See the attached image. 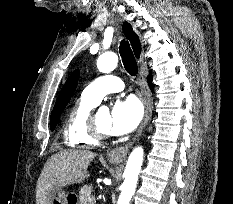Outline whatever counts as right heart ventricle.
Returning a JSON list of instances; mask_svg holds the SVG:
<instances>
[{
    "label": "right heart ventricle",
    "mask_w": 233,
    "mask_h": 204,
    "mask_svg": "<svg viewBox=\"0 0 233 204\" xmlns=\"http://www.w3.org/2000/svg\"><path fill=\"white\" fill-rule=\"evenodd\" d=\"M97 104L83 95L75 102L66 118L64 140L73 148H90L98 145L99 140L90 131L91 112Z\"/></svg>",
    "instance_id": "e07e8e85"
}]
</instances>
